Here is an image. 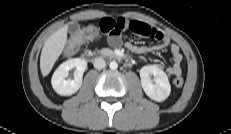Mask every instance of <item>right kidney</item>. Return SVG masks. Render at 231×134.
<instances>
[{
    "label": "right kidney",
    "instance_id": "right-kidney-1",
    "mask_svg": "<svg viewBox=\"0 0 231 134\" xmlns=\"http://www.w3.org/2000/svg\"><path fill=\"white\" fill-rule=\"evenodd\" d=\"M87 68V61L73 58L63 62L54 72L51 84L56 93L69 96L76 93L82 84L83 73ZM75 69L74 79H66L69 71Z\"/></svg>",
    "mask_w": 231,
    "mask_h": 134
}]
</instances>
